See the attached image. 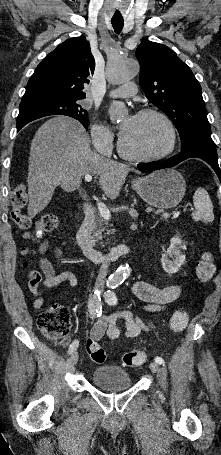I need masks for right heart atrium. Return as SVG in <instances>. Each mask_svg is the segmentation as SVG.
<instances>
[{"label": "right heart atrium", "mask_w": 221, "mask_h": 455, "mask_svg": "<svg viewBox=\"0 0 221 455\" xmlns=\"http://www.w3.org/2000/svg\"><path fill=\"white\" fill-rule=\"evenodd\" d=\"M90 133L94 149L102 155L110 154L114 141L112 131L103 124L94 123Z\"/></svg>", "instance_id": "right-heart-atrium-1"}]
</instances>
